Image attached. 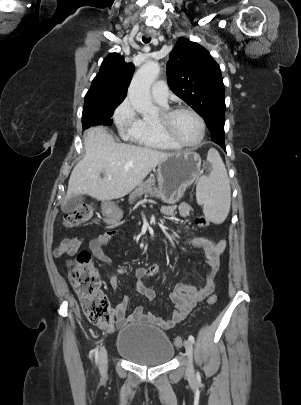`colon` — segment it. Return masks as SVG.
Segmentation results:
<instances>
[{"mask_svg":"<svg viewBox=\"0 0 301 405\" xmlns=\"http://www.w3.org/2000/svg\"><path fill=\"white\" fill-rule=\"evenodd\" d=\"M93 214L91 204H83L72 212L66 214L63 218V224L67 228L76 227L86 222ZM195 225L199 228L208 226V220L205 217H197ZM69 279L79 295L84 313L88 320L99 328L111 330L113 313L108 299L100 289V282L97 271L95 270L89 252L77 249L72 258L68 261ZM208 305H214L217 302L215 294L207 298ZM183 338L175 337L174 344L177 347L183 345Z\"/></svg>","mask_w":301,"mask_h":405,"instance_id":"5ec220e1","label":"colon"}]
</instances>
